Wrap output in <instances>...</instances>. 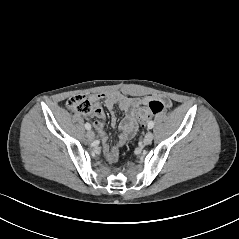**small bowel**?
<instances>
[{"label": "small bowel", "mask_w": 239, "mask_h": 239, "mask_svg": "<svg viewBox=\"0 0 239 239\" xmlns=\"http://www.w3.org/2000/svg\"><path fill=\"white\" fill-rule=\"evenodd\" d=\"M89 99L94 104L93 115L97 117V120L93 123V125L102 139L104 153L108 160H114L118 155L119 147L126 140L130 139L137 131L136 109L141 104L147 103L149 98L130 97L121 92L115 91L104 94H92L89 96ZM100 100H103L107 109L111 111L112 126H115L117 123L116 115L113 112V108L116 105L125 114L124 119L119 125L118 144L114 147L109 146L108 136L104 130L105 114L101 106L98 104ZM164 103L167 107L171 106V102L168 99H165Z\"/></svg>", "instance_id": "c3829d8e"}]
</instances>
